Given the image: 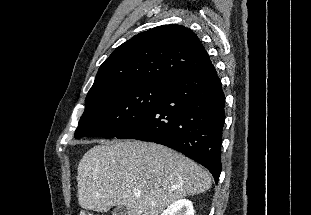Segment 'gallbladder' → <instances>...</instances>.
I'll return each instance as SVG.
<instances>
[{
    "label": "gallbladder",
    "instance_id": "bac80fb5",
    "mask_svg": "<svg viewBox=\"0 0 311 215\" xmlns=\"http://www.w3.org/2000/svg\"><path fill=\"white\" fill-rule=\"evenodd\" d=\"M112 215H127V211L122 207H116L113 209Z\"/></svg>",
    "mask_w": 311,
    "mask_h": 215
}]
</instances>
